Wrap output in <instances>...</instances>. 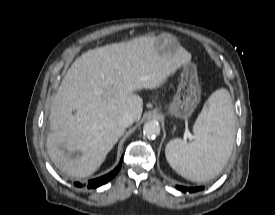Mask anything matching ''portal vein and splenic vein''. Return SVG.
<instances>
[{"label": "portal vein and splenic vein", "instance_id": "obj_1", "mask_svg": "<svg viewBox=\"0 0 275 215\" xmlns=\"http://www.w3.org/2000/svg\"><path fill=\"white\" fill-rule=\"evenodd\" d=\"M185 136L188 137L189 139L192 138V135L190 134L188 129L185 130Z\"/></svg>", "mask_w": 275, "mask_h": 215}]
</instances>
